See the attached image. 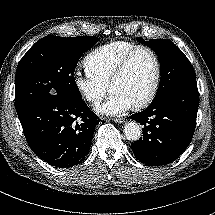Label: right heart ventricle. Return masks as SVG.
I'll use <instances>...</instances> for the list:
<instances>
[{
    "label": "right heart ventricle",
    "mask_w": 215,
    "mask_h": 215,
    "mask_svg": "<svg viewBox=\"0 0 215 215\" xmlns=\"http://www.w3.org/2000/svg\"><path fill=\"white\" fill-rule=\"evenodd\" d=\"M135 46L134 42L118 40L96 47L83 60L86 73L106 84L119 59Z\"/></svg>",
    "instance_id": "1"
}]
</instances>
